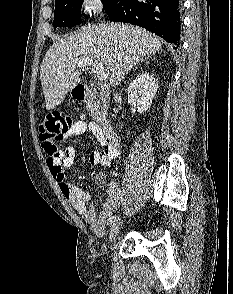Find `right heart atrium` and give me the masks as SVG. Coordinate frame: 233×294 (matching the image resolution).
I'll return each mask as SVG.
<instances>
[{
    "instance_id": "d8ad5b80",
    "label": "right heart atrium",
    "mask_w": 233,
    "mask_h": 294,
    "mask_svg": "<svg viewBox=\"0 0 233 294\" xmlns=\"http://www.w3.org/2000/svg\"><path fill=\"white\" fill-rule=\"evenodd\" d=\"M103 0H81V10L84 14L95 17L103 10Z\"/></svg>"
}]
</instances>
